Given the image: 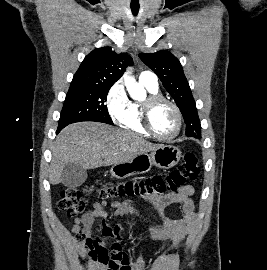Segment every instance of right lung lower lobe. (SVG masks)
<instances>
[{"instance_id":"1","label":"right lung lower lobe","mask_w":267,"mask_h":270,"mask_svg":"<svg viewBox=\"0 0 267 270\" xmlns=\"http://www.w3.org/2000/svg\"><path fill=\"white\" fill-rule=\"evenodd\" d=\"M61 130H62V129H57V132H56V133L58 134Z\"/></svg>"}]
</instances>
